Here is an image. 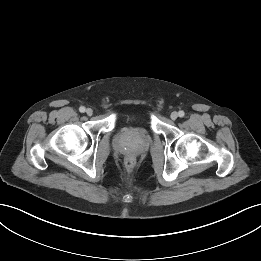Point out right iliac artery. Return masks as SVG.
I'll return each instance as SVG.
<instances>
[{"instance_id":"82829eb1","label":"right iliac artery","mask_w":261,"mask_h":261,"mask_svg":"<svg viewBox=\"0 0 261 261\" xmlns=\"http://www.w3.org/2000/svg\"><path fill=\"white\" fill-rule=\"evenodd\" d=\"M79 111H80L81 113H84V112H85V107H84V106H81V107L79 108Z\"/></svg>"}]
</instances>
